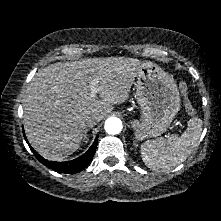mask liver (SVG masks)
<instances>
[{
	"instance_id": "1",
	"label": "liver",
	"mask_w": 221,
	"mask_h": 221,
	"mask_svg": "<svg viewBox=\"0 0 221 221\" xmlns=\"http://www.w3.org/2000/svg\"><path fill=\"white\" fill-rule=\"evenodd\" d=\"M141 66L134 58L105 57L57 62L39 70L23 104L31 146L49 160L73 154L84 137L85 116L95 115L100 121L113 105L124 103ZM93 79L99 100L90 96Z\"/></svg>"
}]
</instances>
